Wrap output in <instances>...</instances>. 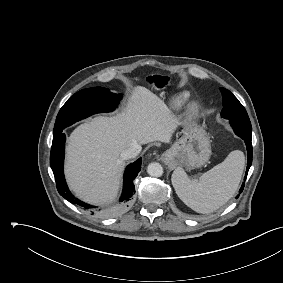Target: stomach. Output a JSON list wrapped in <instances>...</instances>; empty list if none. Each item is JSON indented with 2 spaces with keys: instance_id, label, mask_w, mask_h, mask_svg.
Instances as JSON below:
<instances>
[{
  "instance_id": "stomach-1",
  "label": "stomach",
  "mask_w": 283,
  "mask_h": 283,
  "mask_svg": "<svg viewBox=\"0 0 283 283\" xmlns=\"http://www.w3.org/2000/svg\"><path fill=\"white\" fill-rule=\"evenodd\" d=\"M183 135L163 155L167 163L198 168L208 162L211 144L205 130L194 123H183Z\"/></svg>"
}]
</instances>
